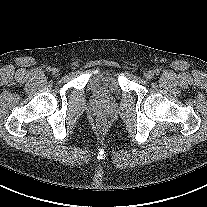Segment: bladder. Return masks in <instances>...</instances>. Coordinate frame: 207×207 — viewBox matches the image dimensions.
I'll return each instance as SVG.
<instances>
[{
  "label": "bladder",
  "mask_w": 207,
  "mask_h": 207,
  "mask_svg": "<svg viewBox=\"0 0 207 207\" xmlns=\"http://www.w3.org/2000/svg\"><path fill=\"white\" fill-rule=\"evenodd\" d=\"M91 89L99 96H109L119 91L118 82L115 76L100 74L92 78Z\"/></svg>",
  "instance_id": "1"
}]
</instances>
